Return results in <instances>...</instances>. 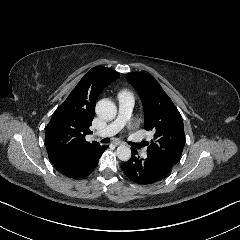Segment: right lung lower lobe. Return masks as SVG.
<instances>
[{
    "label": "right lung lower lobe",
    "mask_w": 240,
    "mask_h": 240,
    "mask_svg": "<svg viewBox=\"0 0 240 240\" xmlns=\"http://www.w3.org/2000/svg\"><path fill=\"white\" fill-rule=\"evenodd\" d=\"M107 149V146H100L86 153L81 159L73 162L53 164L54 167L64 176L79 179L88 176L97 166L100 156Z\"/></svg>",
    "instance_id": "1"
}]
</instances>
